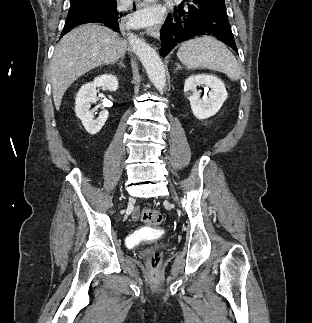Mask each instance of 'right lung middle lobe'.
<instances>
[{"instance_id": "obj_1", "label": "right lung middle lobe", "mask_w": 312, "mask_h": 323, "mask_svg": "<svg viewBox=\"0 0 312 323\" xmlns=\"http://www.w3.org/2000/svg\"><path fill=\"white\" fill-rule=\"evenodd\" d=\"M99 0H70V9L76 8L80 5H89Z\"/></svg>"}]
</instances>
